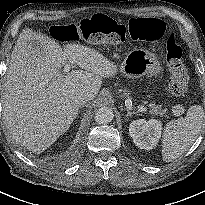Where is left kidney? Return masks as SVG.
<instances>
[{"label": "left kidney", "mask_w": 205, "mask_h": 205, "mask_svg": "<svg viewBox=\"0 0 205 205\" xmlns=\"http://www.w3.org/2000/svg\"><path fill=\"white\" fill-rule=\"evenodd\" d=\"M162 124L160 121L139 119L129 125V134L136 146L144 150L153 149L161 137Z\"/></svg>", "instance_id": "left-kidney-1"}]
</instances>
